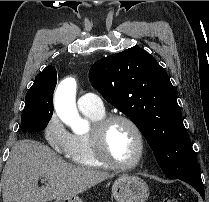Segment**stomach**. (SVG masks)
<instances>
[{
    "instance_id": "0dacf381",
    "label": "stomach",
    "mask_w": 209,
    "mask_h": 202,
    "mask_svg": "<svg viewBox=\"0 0 209 202\" xmlns=\"http://www.w3.org/2000/svg\"><path fill=\"white\" fill-rule=\"evenodd\" d=\"M112 196L116 202H145L149 197V187L137 176L121 175L112 185ZM55 202H83L78 196L63 197Z\"/></svg>"
}]
</instances>
